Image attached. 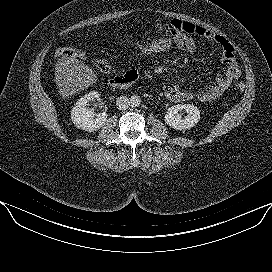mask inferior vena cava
Listing matches in <instances>:
<instances>
[{
  "label": "inferior vena cava",
  "mask_w": 272,
  "mask_h": 272,
  "mask_svg": "<svg viewBox=\"0 0 272 272\" xmlns=\"http://www.w3.org/2000/svg\"><path fill=\"white\" fill-rule=\"evenodd\" d=\"M116 106L119 110H127L130 107V99L126 96H120L116 100Z\"/></svg>",
  "instance_id": "obj_1"
}]
</instances>
